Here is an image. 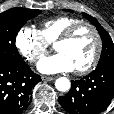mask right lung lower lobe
<instances>
[{
  "instance_id": "obj_1",
  "label": "right lung lower lobe",
  "mask_w": 114,
  "mask_h": 114,
  "mask_svg": "<svg viewBox=\"0 0 114 114\" xmlns=\"http://www.w3.org/2000/svg\"><path fill=\"white\" fill-rule=\"evenodd\" d=\"M41 81L23 61L0 64V114H21L31 103V90Z\"/></svg>"
}]
</instances>
